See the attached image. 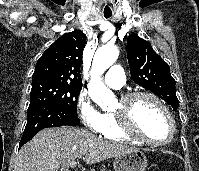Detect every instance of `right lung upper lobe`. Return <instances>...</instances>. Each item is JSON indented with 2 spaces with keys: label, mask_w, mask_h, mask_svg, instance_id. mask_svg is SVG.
Wrapping results in <instances>:
<instances>
[{
  "label": "right lung upper lobe",
  "mask_w": 199,
  "mask_h": 171,
  "mask_svg": "<svg viewBox=\"0 0 199 171\" xmlns=\"http://www.w3.org/2000/svg\"><path fill=\"white\" fill-rule=\"evenodd\" d=\"M86 35L80 30L65 33L39 58L32 80L49 79L82 85L80 66Z\"/></svg>",
  "instance_id": "cb5924a9"
}]
</instances>
